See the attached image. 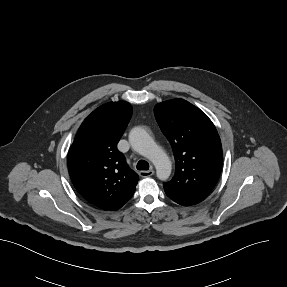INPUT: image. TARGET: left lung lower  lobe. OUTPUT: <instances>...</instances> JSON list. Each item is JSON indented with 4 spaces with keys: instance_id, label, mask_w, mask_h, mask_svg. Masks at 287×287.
Wrapping results in <instances>:
<instances>
[{
    "instance_id": "0a47b994",
    "label": "left lung lower lobe",
    "mask_w": 287,
    "mask_h": 287,
    "mask_svg": "<svg viewBox=\"0 0 287 287\" xmlns=\"http://www.w3.org/2000/svg\"><path fill=\"white\" fill-rule=\"evenodd\" d=\"M170 199H172L173 201L177 202L180 205L183 206H189V205H193L194 203H188V202H184V201H180V200H176L174 198H172L170 195L166 194Z\"/></svg>"
}]
</instances>
